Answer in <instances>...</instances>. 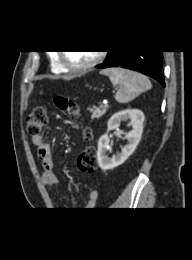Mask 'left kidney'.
<instances>
[{
	"label": "left kidney",
	"instance_id": "5707ae66",
	"mask_svg": "<svg viewBox=\"0 0 192 260\" xmlns=\"http://www.w3.org/2000/svg\"><path fill=\"white\" fill-rule=\"evenodd\" d=\"M127 120H130V125L132 126V130L125 136L128 143L119 153L110 158L107 155V152L110 150L108 132L118 128L121 121ZM143 122L144 114L138 109H126L111 116L107 124V132L98 141L97 160L102 170H110L121 165L135 151L143 132Z\"/></svg>",
	"mask_w": 192,
	"mask_h": 260
}]
</instances>
